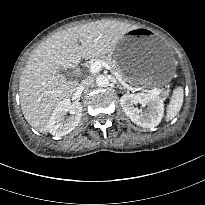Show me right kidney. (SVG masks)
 <instances>
[{"instance_id":"obj_1","label":"right kidney","mask_w":205,"mask_h":205,"mask_svg":"<svg viewBox=\"0 0 205 205\" xmlns=\"http://www.w3.org/2000/svg\"><path fill=\"white\" fill-rule=\"evenodd\" d=\"M70 117H66L67 113ZM82 116V105L79 102L71 103L69 99L62 101L53 111L48 121V131L56 137L72 132L78 126Z\"/></svg>"}]
</instances>
